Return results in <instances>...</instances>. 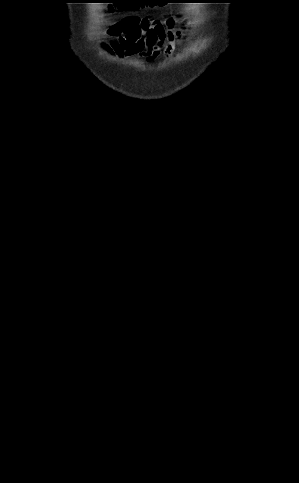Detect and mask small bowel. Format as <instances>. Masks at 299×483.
<instances>
[{
    "label": "small bowel",
    "instance_id": "c3829d8e",
    "mask_svg": "<svg viewBox=\"0 0 299 483\" xmlns=\"http://www.w3.org/2000/svg\"><path fill=\"white\" fill-rule=\"evenodd\" d=\"M177 19L169 17L164 23L149 16L128 15L108 28L107 34L111 39L102 47L116 57L152 60L161 52L165 57H174L182 36V29L175 26Z\"/></svg>",
    "mask_w": 299,
    "mask_h": 483
}]
</instances>
